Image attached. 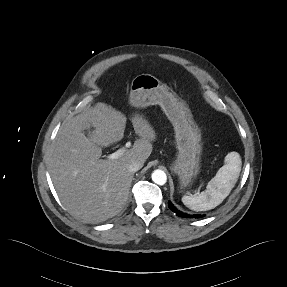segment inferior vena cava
Wrapping results in <instances>:
<instances>
[{"label":"inferior vena cava","instance_id":"1","mask_svg":"<svg viewBox=\"0 0 287 287\" xmlns=\"http://www.w3.org/2000/svg\"><path fill=\"white\" fill-rule=\"evenodd\" d=\"M142 166L143 165L140 162L132 161L127 165V169L129 172L134 173V172L140 170L142 168Z\"/></svg>","mask_w":287,"mask_h":287}]
</instances>
